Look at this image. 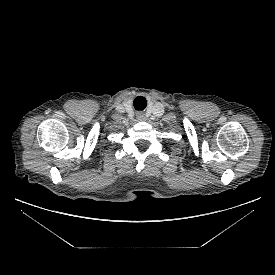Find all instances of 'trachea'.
Wrapping results in <instances>:
<instances>
[{
  "label": "trachea",
  "mask_w": 275,
  "mask_h": 275,
  "mask_svg": "<svg viewBox=\"0 0 275 275\" xmlns=\"http://www.w3.org/2000/svg\"><path fill=\"white\" fill-rule=\"evenodd\" d=\"M147 105L146 99L142 96H138L134 100V107L136 110H143Z\"/></svg>",
  "instance_id": "3493384b"
}]
</instances>
